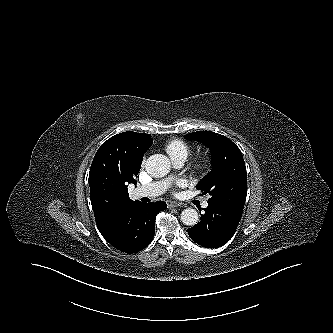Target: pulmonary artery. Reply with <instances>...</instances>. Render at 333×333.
Instances as JSON below:
<instances>
[{"instance_id":"pulmonary-artery-1","label":"pulmonary artery","mask_w":333,"mask_h":333,"mask_svg":"<svg viewBox=\"0 0 333 333\" xmlns=\"http://www.w3.org/2000/svg\"><path fill=\"white\" fill-rule=\"evenodd\" d=\"M175 167H182L185 162L183 158H177L172 160ZM170 184L169 179H164L156 182L149 183L147 185L138 187L134 190V195L136 197H155L163 194ZM202 206L206 208L208 206V201L205 200Z\"/></svg>"}]
</instances>
